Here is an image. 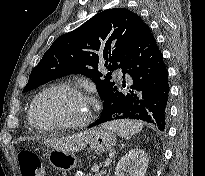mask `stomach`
<instances>
[{
    "label": "stomach",
    "instance_id": "1",
    "mask_svg": "<svg viewBox=\"0 0 205 176\" xmlns=\"http://www.w3.org/2000/svg\"><path fill=\"white\" fill-rule=\"evenodd\" d=\"M116 142V137L113 131L100 126L91 130L89 141L90 148L95 153H103L109 151ZM48 159L52 167L59 171H70L77 166V157L71 151H62L53 148Z\"/></svg>",
    "mask_w": 205,
    "mask_h": 176
}]
</instances>
